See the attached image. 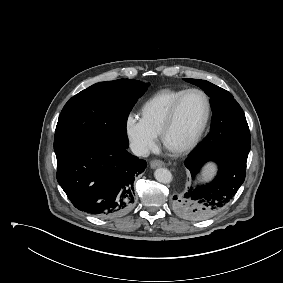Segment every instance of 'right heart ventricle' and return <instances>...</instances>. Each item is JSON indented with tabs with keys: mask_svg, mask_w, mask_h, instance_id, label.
Segmentation results:
<instances>
[{
	"mask_svg": "<svg viewBox=\"0 0 283 283\" xmlns=\"http://www.w3.org/2000/svg\"><path fill=\"white\" fill-rule=\"evenodd\" d=\"M186 89H163L149 97L141 106L140 119L154 135L161 127L173 103Z\"/></svg>",
	"mask_w": 283,
	"mask_h": 283,
	"instance_id": "e07e8e85",
	"label": "right heart ventricle"
}]
</instances>
